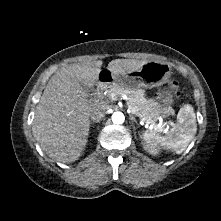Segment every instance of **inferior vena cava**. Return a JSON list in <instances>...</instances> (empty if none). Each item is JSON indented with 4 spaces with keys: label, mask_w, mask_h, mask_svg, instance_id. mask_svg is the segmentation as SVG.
Wrapping results in <instances>:
<instances>
[{
    "label": "inferior vena cava",
    "mask_w": 221,
    "mask_h": 221,
    "mask_svg": "<svg viewBox=\"0 0 221 221\" xmlns=\"http://www.w3.org/2000/svg\"><path fill=\"white\" fill-rule=\"evenodd\" d=\"M107 109L108 106L106 104H94L90 112L91 119L93 121H100L104 117Z\"/></svg>",
    "instance_id": "1"
}]
</instances>
